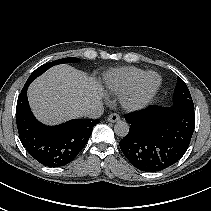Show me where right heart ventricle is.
<instances>
[{"label":"right heart ventricle","mask_w":211,"mask_h":211,"mask_svg":"<svg viewBox=\"0 0 211 211\" xmlns=\"http://www.w3.org/2000/svg\"><path fill=\"white\" fill-rule=\"evenodd\" d=\"M145 73L144 70L135 67L115 69L106 74L105 84L112 93L124 95L135 87Z\"/></svg>","instance_id":"1"}]
</instances>
